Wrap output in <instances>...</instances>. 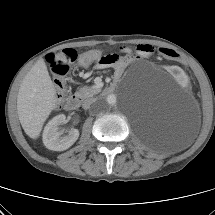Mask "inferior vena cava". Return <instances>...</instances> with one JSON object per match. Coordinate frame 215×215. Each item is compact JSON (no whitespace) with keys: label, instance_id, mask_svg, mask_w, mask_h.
<instances>
[{"label":"inferior vena cava","instance_id":"602c4592","mask_svg":"<svg viewBox=\"0 0 215 215\" xmlns=\"http://www.w3.org/2000/svg\"><path fill=\"white\" fill-rule=\"evenodd\" d=\"M91 106H95L97 107L98 106V102L96 99H87L83 102V108L84 109H88L90 108Z\"/></svg>","mask_w":215,"mask_h":215}]
</instances>
